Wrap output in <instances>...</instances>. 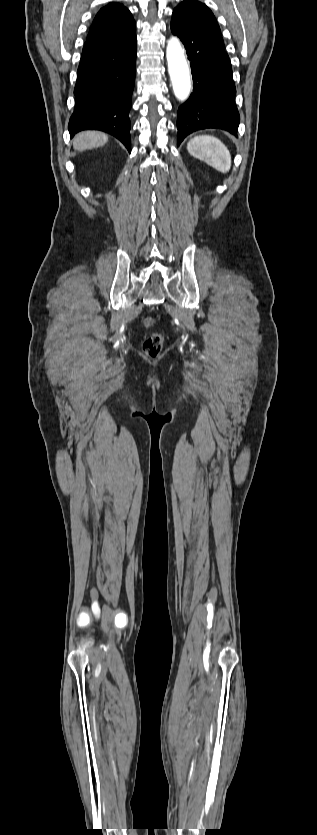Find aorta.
<instances>
[{
    "label": "aorta",
    "mask_w": 317,
    "mask_h": 835,
    "mask_svg": "<svg viewBox=\"0 0 317 835\" xmlns=\"http://www.w3.org/2000/svg\"><path fill=\"white\" fill-rule=\"evenodd\" d=\"M166 58L174 94L179 101L183 102L190 95L191 80L184 50L177 37L172 36L168 41Z\"/></svg>",
    "instance_id": "aorta-1"
}]
</instances>
